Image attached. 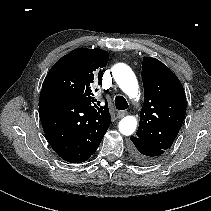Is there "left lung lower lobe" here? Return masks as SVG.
I'll use <instances>...</instances> for the list:
<instances>
[{"label": "left lung lower lobe", "instance_id": "obj_1", "mask_svg": "<svg viewBox=\"0 0 211 211\" xmlns=\"http://www.w3.org/2000/svg\"><path fill=\"white\" fill-rule=\"evenodd\" d=\"M130 152L133 160L141 165L156 163L164 154V150L151 146L136 136L131 137Z\"/></svg>", "mask_w": 211, "mask_h": 211}]
</instances>
